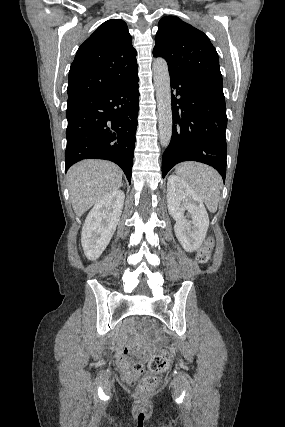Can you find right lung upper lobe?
<instances>
[{
	"instance_id": "1",
	"label": "right lung upper lobe",
	"mask_w": 285,
	"mask_h": 427,
	"mask_svg": "<svg viewBox=\"0 0 285 427\" xmlns=\"http://www.w3.org/2000/svg\"><path fill=\"white\" fill-rule=\"evenodd\" d=\"M136 55L126 23L104 22L79 47L71 64L68 103L132 81L137 77Z\"/></svg>"
}]
</instances>
